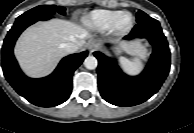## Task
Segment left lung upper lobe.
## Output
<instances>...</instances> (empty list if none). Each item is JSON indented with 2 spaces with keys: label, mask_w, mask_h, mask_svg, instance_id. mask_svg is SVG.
I'll return each instance as SVG.
<instances>
[{
  "label": "left lung upper lobe",
  "mask_w": 194,
  "mask_h": 133,
  "mask_svg": "<svg viewBox=\"0 0 194 133\" xmlns=\"http://www.w3.org/2000/svg\"><path fill=\"white\" fill-rule=\"evenodd\" d=\"M136 17H137V22H141V21L149 18V16L141 10L138 11Z\"/></svg>",
  "instance_id": "5c2ea615"
}]
</instances>
